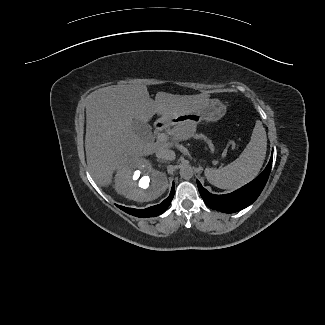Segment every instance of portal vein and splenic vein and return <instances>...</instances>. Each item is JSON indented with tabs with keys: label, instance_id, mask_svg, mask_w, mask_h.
Segmentation results:
<instances>
[{
	"label": "portal vein and splenic vein",
	"instance_id": "portal-vein-and-splenic-vein-1",
	"mask_svg": "<svg viewBox=\"0 0 325 325\" xmlns=\"http://www.w3.org/2000/svg\"><path fill=\"white\" fill-rule=\"evenodd\" d=\"M168 140V135L165 133H160L158 135V141L160 142H166Z\"/></svg>",
	"mask_w": 325,
	"mask_h": 325
}]
</instances>
